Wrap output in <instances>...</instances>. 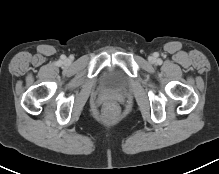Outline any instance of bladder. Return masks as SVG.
Returning a JSON list of instances; mask_svg holds the SVG:
<instances>
[{"label":"bladder","instance_id":"31cf9c89","mask_svg":"<svg viewBox=\"0 0 219 174\" xmlns=\"http://www.w3.org/2000/svg\"><path fill=\"white\" fill-rule=\"evenodd\" d=\"M102 82L104 86L119 90L126 86V75L116 67H109L102 76Z\"/></svg>","mask_w":219,"mask_h":174}]
</instances>
